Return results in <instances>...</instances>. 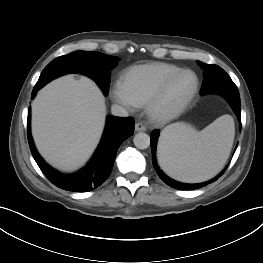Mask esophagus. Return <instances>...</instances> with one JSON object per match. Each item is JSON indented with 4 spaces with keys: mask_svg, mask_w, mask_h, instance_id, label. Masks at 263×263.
Instances as JSON below:
<instances>
[{
    "mask_svg": "<svg viewBox=\"0 0 263 263\" xmlns=\"http://www.w3.org/2000/svg\"><path fill=\"white\" fill-rule=\"evenodd\" d=\"M135 131L137 132L146 131V127L142 123H136Z\"/></svg>",
    "mask_w": 263,
    "mask_h": 263,
    "instance_id": "34e87169",
    "label": "esophagus"
}]
</instances>
